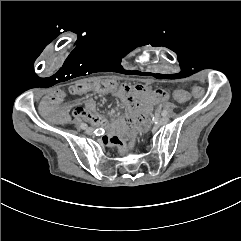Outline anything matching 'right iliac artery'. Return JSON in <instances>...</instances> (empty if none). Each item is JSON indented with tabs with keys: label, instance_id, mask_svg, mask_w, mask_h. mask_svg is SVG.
I'll return each instance as SVG.
<instances>
[{
	"label": "right iliac artery",
	"instance_id": "1",
	"mask_svg": "<svg viewBox=\"0 0 241 241\" xmlns=\"http://www.w3.org/2000/svg\"><path fill=\"white\" fill-rule=\"evenodd\" d=\"M81 128L82 129H86L87 128V124L86 123L81 124Z\"/></svg>",
	"mask_w": 241,
	"mask_h": 241
}]
</instances>
